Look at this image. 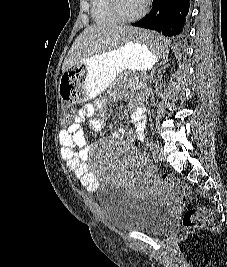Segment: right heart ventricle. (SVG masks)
<instances>
[{"instance_id":"1","label":"right heart ventricle","mask_w":227,"mask_h":267,"mask_svg":"<svg viewBox=\"0 0 227 267\" xmlns=\"http://www.w3.org/2000/svg\"><path fill=\"white\" fill-rule=\"evenodd\" d=\"M90 4L92 17L96 23L110 25L119 22L111 12L108 0H90Z\"/></svg>"}]
</instances>
